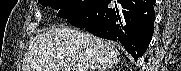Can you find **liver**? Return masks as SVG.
<instances>
[{"label":"liver","mask_w":181,"mask_h":71,"mask_svg":"<svg viewBox=\"0 0 181 71\" xmlns=\"http://www.w3.org/2000/svg\"><path fill=\"white\" fill-rule=\"evenodd\" d=\"M120 62L115 44L76 29L61 27L30 41L23 71H107Z\"/></svg>","instance_id":"liver-1"}]
</instances>
